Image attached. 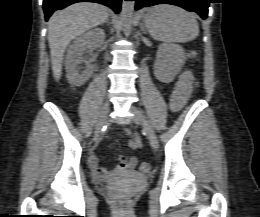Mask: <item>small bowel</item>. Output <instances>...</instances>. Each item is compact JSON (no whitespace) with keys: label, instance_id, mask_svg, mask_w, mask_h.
Listing matches in <instances>:
<instances>
[{"label":"small bowel","instance_id":"small-bowel-1","mask_svg":"<svg viewBox=\"0 0 260 217\" xmlns=\"http://www.w3.org/2000/svg\"><path fill=\"white\" fill-rule=\"evenodd\" d=\"M193 81V75L189 71H183L174 86V90L171 96V106L173 110H179L185 99L188 97L191 91V85ZM127 134L130 135L129 140V148L132 150H137L142 147L141 139L136 134H131L128 130H125ZM137 158L136 157H126L121 156L118 160L116 172L117 173H125L133 171L137 165ZM88 163L91 171L98 177V178H107L112 175V172L105 167H101L98 163V159L94 154H91L88 158Z\"/></svg>","mask_w":260,"mask_h":217}]
</instances>
